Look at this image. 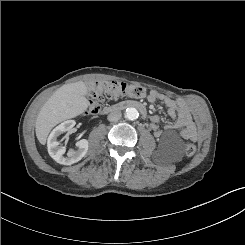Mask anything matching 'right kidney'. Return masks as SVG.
<instances>
[{"label": "right kidney", "mask_w": 245, "mask_h": 245, "mask_svg": "<svg viewBox=\"0 0 245 245\" xmlns=\"http://www.w3.org/2000/svg\"><path fill=\"white\" fill-rule=\"evenodd\" d=\"M75 126L74 120H67L53 129L48 137L47 147L49 155L59 164L71 165L80 161L87 153L89 143L88 140L82 139L76 143L77 150L70 149L67 156H64L66 152L65 147L60 146L58 137L66 132L70 131Z\"/></svg>", "instance_id": "obj_1"}]
</instances>
